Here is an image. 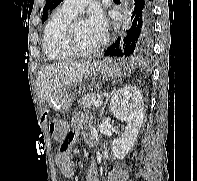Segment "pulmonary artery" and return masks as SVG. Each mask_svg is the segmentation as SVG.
Masks as SVG:
<instances>
[{
    "instance_id": "obj_1",
    "label": "pulmonary artery",
    "mask_w": 197,
    "mask_h": 181,
    "mask_svg": "<svg viewBox=\"0 0 197 181\" xmlns=\"http://www.w3.org/2000/svg\"><path fill=\"white\" fill-rule=\"evenodd\" d=\"M91 0H65L63 6L78 14Z\"/></svg>"
}]
</instances>
